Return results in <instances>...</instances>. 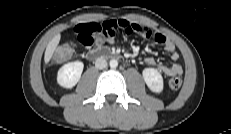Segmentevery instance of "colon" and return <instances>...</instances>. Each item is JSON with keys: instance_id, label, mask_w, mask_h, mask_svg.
Wrapping results in <instances>:
<instances>
[{"instance_id": "obj_1", "label": "colon", "mask_w": 231, "mask_h": 134, "mask_svg": "<svg viewBox=\"0 0 231 134\" xmlns=\"http://www.w3.org/2000/svg\"><path fill=\"white\" fill-rule=\"evenodd\" d=\"M72 53V48L68 45L62 46L59 49L56 50V52L53 55V61L55 63H62L66 61ZM182 85V80L179 77H172L169 80V87L171 89H179Z\"/></svg>"}]
</instances>
